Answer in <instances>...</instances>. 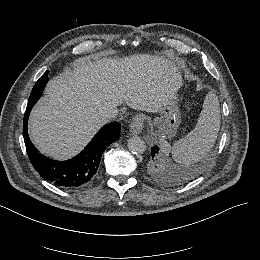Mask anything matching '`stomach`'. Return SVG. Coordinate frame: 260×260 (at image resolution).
Segmentation results:
<instances>
[{
    "label": "stomach",
    "mask_w": 260,
    "mask_h": 260,
    "mask_svg": "<svg viewBox=\"0 0 260 260\" xmlns=\"http://www.w3.org/2000/svg\"><path fill=\"white\" fill-rule=\"evenodd\" d=\"M159 113L160 117L154 119L153 126L162 137H173L181 121L176 101L173 99L171 102L165 104Z\"/></svg>",
    "instance_id": "1"
}]
</instances>
